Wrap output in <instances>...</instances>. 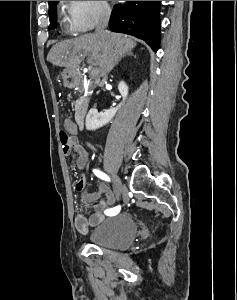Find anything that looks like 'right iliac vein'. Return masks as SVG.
Listing matches in <instances>:
<instances>
[{
    "mask_svg": "<svg viewBox=\"0 0 237 300\" xmlns=\"http://www.w3.org/2000/svg\"><path fill=\"white\" fill-rule=\"evenodd\" d=\"M114 192L117 200L121 193L124 192V186L118 176L114 177Z\"/></svg>",
    "mask_w": 237,
    "mask_h": 300,
    "instance_id": "63e3f726",
    "label": "right iliac vein"
}]
</instances>
